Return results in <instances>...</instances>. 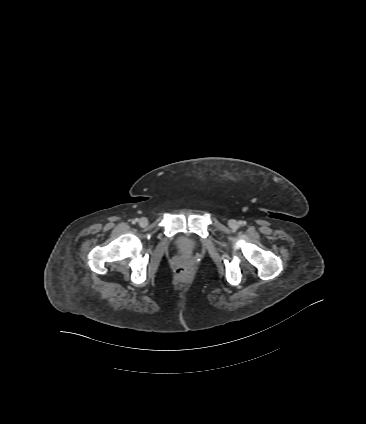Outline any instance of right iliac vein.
I'll return each instance as SVG.
<instances>
[{"label":"right iliac vein","mask_w":366,"mask_h":424,"mask_svg":"<svg viewBox=\"0 0 366 424\" xmlns=\"http://www.w3.org/2000/svg\"><path fill=\"white\" fill-rule=\"evenodd\" d=\"M139 225H140L141 227H146V226L148 225V219H147V218H145V217H143V218L139 219Z\"/></svg>","instance_id":"obj_1"}]
</instances>
